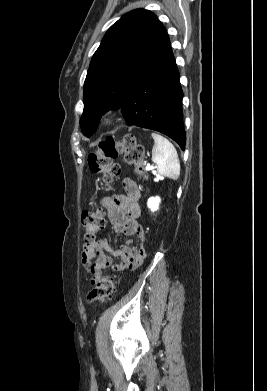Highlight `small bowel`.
I'll return each instance as SVG.
<instances>
[{
	"instance_id": "small-bowel-1",
	"label": "small bowel",
	"mask_w": 267,
	"mask_h": 391,
	"mask_svg": "<svg viewBox=\"0 0 267 391\" xmlns=\"http://www.w3.org/2000/svg\"><path fill=\"white\" fill-rule=\"evenodd\" d=\"M125 194L113 198L103 199L107 208L109 220L115 233H123L131 237L118 249H113L106 238H100L91 245L84 247L82 262L91 274V283L96 284L102 277L104 270L111 267L114 272L125 269H136L145 257V232L138 222L141 214L140 190L130 178L123 180ZM114 258L118 263H114Z\"/></svg>"
}]
</instances>
